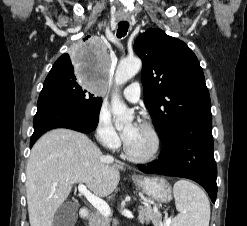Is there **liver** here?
I'll list each match as a JSON object with an SVG mask.
<instances>
[{
	"label": "liver",
	"mask_w": 247,
	"mask_h": 226,
	"mask_svg": "<svg viewBox=\"0 0 247 226\" xmlns=\"http://www.w3.org/2000/svg\"><path fill=\"white\" fill-rule=\"evenodd\" d=\"M103 156L84 134L54 129L33 146L26 167V197L31 226H53L58 208L75 183L106 197L117 187L121 163Z\"/></svg>",
	"instance_id": "6515ba94"
}]
</instances>
